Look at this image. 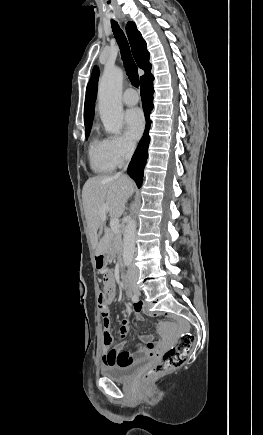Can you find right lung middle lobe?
I'll return each instance as SVG.
<instances>
[{"label": "right lung middle lobe", "mask_w": 263, "mask_h": 435, "mask_svg": "<svg viewBox=\"0 0 263 435\" xmlns=\"http://www.w3.org/2000/svg\"><path fill=\"white\" fill-rule=\"evenodd\" d=\"M89 132H90V130L85 131V136H86V137L89 136Z\"/></svg>", "instance_id": "right-lung-middle-lobe-1"}]
</instances>
